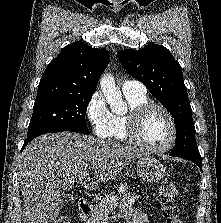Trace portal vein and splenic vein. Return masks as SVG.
Returning <instances> with one entry per match:
<instances>
[{
	"label": "portal vein and splenic vein",
	"mask_w": 221,
	"mask_h": 223,
	"mask_svg": "<svg viewBox=\"0 0 221 223\" xmlns=\"http://www.w3.org/2000/svg\"><path fill=\"white\" fill-rule=\"evenodd\" d=\"M88 180H89V178H81L80 183L85 184ZM116 204H117V202H116Z\"/></svg>",
	"instance_id": "1"
}]
</instances>
